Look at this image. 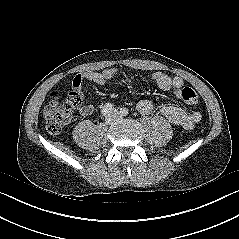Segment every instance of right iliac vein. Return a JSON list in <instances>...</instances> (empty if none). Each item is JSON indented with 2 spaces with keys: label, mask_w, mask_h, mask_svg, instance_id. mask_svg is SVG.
I'll use <instances>...</instances> for the list:
<instances>
[{
  "label": "right iliac vein",
  "mask_w": 239,
  "mask_h": 239,
  "mask_svg": "<svg viewBox=\"0 0 239 239\" xmlns=\"http://www.w3.org/2000/svg\"><path fill=\"white\" fill-rule=\"evenodd\" d=\"M114 121H115V117H114V115H112V114H108L106 117H105V122H106V124H113L114 123Z\"/></svg>",
  "instance_id": "right-iliac-vein-1"
}]
</instances>
